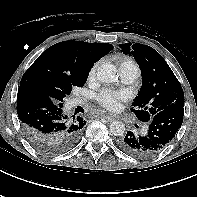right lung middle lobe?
<instances>
[{
	"label": "right lung middle lobe",
	"mask_w": 197,
	"mask_h": 197,
	"mask_svg": "<svg viewBox=\"0 0 197 197\" xmlns=\"http://www.w3.org/2000/svg\"><path fill=\"white\" fill-rule=\"evenodd\" d=\"M86 80L87 78L73 80L64 75L40 70L27 79V86L45 93L55 103L63 104V99L71 93L72 88L83 86Z\"/></svg>",
	"instance_id": "1"
}]
</instances>
